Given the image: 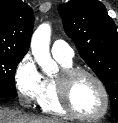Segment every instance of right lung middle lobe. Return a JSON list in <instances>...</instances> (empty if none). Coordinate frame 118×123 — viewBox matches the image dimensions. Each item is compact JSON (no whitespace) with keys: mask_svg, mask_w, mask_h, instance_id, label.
Segmentation results:
<instances>
[{"mask_svg":"<svg viewBox=\"0 0 118 123\" xmlns=\"http://www.w3.org/2000/svg\"><path fill=\"white\" fill-rule=\"evenodd\" d=\"M23 55H16L0 51V96L15 98V70Z\"/></svg>","mask_w":118,"mask_h":123,"instance_id":"1","label":"right lung middle lobe"}]
</instances>
